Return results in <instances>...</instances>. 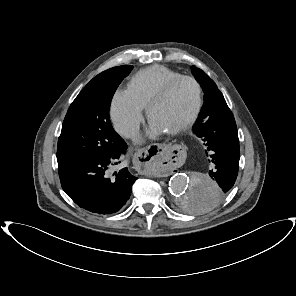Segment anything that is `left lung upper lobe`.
Segmentation results:
<instances>
[{"label": "left lung upper lobe", "instance_id": "obj_1", "mask_svg": "<svg viewBox=\"0 0 296 296\" xmlns=\"http://www.w3.org/2000/svg\"><path fill=\"white\" fill-rule=\"evenodd\" d=\"M191 69L192 74L195 76L196 80L199 82L204 92V104L199 117L193 127L196 136L199 137L200 135L198 134V128H200V125L206 121L208 116L216 107L226 101L220 90L217 88L216 84L210 79L207 74H205L201 69L195 66H192ZM186 207L189 210L195 209V207Z\"/></svg>", "mask_w": 296, "mask_h": 296}]
</instances>
